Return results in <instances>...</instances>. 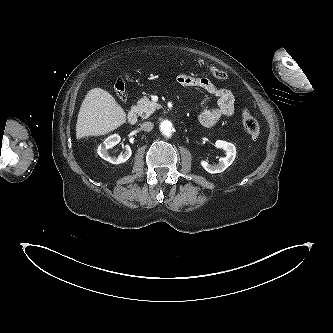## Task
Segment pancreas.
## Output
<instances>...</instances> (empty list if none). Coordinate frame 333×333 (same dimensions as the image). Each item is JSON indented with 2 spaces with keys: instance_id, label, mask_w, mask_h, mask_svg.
I'll return each instance as SVG.
<instances>
[{
  "instance_id": "cf45deb5",
  "label": "pancreas",
  "mask_w": 333,
  "mask_h": 333,
  "mask_svg": "<svg viewBox=\"0 0 333 333\" xmlns=\"http://www.w3.org/2000/svg\"><path fill=\"white\" fill-rule=\"evenodd\" d=\"M158 107L159 105L157 103L150 101L148 97L144 96L137 103V112L139 116L146 119L153 114Z\"/></svg>"
}]
</instances>
